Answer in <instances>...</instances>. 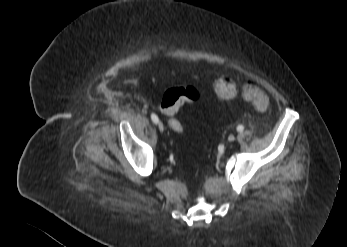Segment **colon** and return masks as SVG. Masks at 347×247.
Instances as JSON below:
<instances>
[{
  "label": "colon",
  "mask_w": 347,
  "mask_h": 247,
  "mask_svg": "<svg viewBox=\"0 0 347 247\" xmlns=\"http://www.w3.org/2000/svg\"><path fill=\"white\" fill-rule=\"evenodd\" d=\"M214 90L220 100L228 101L235 96L237 88L229 76H222L215 81ZM242 94L257 111L263 112L268 108V96L253 83L245 84L242 87ZM198 99L199 93L192 86H173L164 93L161 108L168 117L169 126L175 134L182 135L184 132L183 124L177 117L180 109L185 104Z\"/></svg>",
  "instance_id": "1"
}]
</instances>
